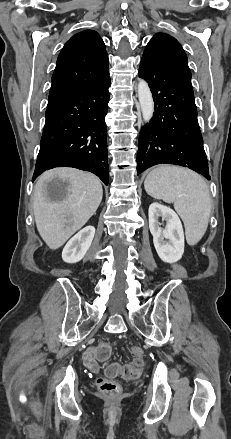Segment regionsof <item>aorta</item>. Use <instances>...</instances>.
I'll return each instance as SVG.
<instances>
[{
    "mask_svg": "<svg viewBox=\"0 0 231 439\" xmlns=\"http://www.w3.org/2000/svg\"><path fill=\"white\" fill-rule=\"evenodd\" d=\"M138 99L144 123H148L154 113V101L148 83L140 79L138 83Z\"/></svg>",
    "mask_w": 231,
    "mask_h": 439,
    "instance_id": "1",
    "label": "aorta"
}]
</instances>
